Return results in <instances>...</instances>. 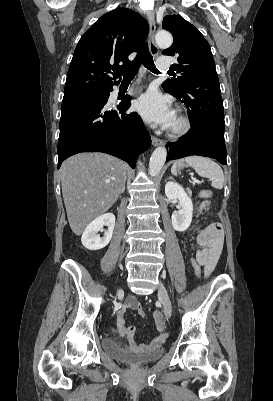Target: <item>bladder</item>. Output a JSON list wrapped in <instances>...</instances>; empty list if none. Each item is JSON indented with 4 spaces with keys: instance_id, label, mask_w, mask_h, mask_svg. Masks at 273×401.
Here are the masks:
<instances>
[{
    "instance_id": "31cf9c89",
    "label": "bladder",
    "mask_w": 273,
    "mask_h": 401,
    "mask_svg": "<svg viewBox=\"0 0 273 401\" xmlns=\"http://www.w3.org/2000/svg\"><path fill=\"white\" fill-rule=\"evenodd\" d=\"M102 348L111 358L134 367L149 364L159 359L163 354V348L160 346L143 353H130L118 339L110 336L103 339Z\"/></svg>"
}]
</instances>
